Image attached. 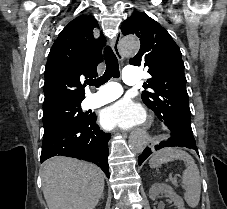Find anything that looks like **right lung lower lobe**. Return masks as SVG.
Instances as JSON below:
<instances>
[{
    "label": "right lung lower lobe",
    "instance_id": "1",
    "mask_svg": "<svg viewBox=\"0 0 227 209\" xmlns=\"http://www.w3.org/2000/svg\"><path fill=\"white\" fill-rule=\"evenodd\" d=\"M105 133L96 124L94 115L84 121L63 127L43 137L41 163L53 156H68L86 160L98 165L109 177L108 141Z\"/></svg>",
    "mask_w": 227,
    "mask_h": 209
}]
</instances>
